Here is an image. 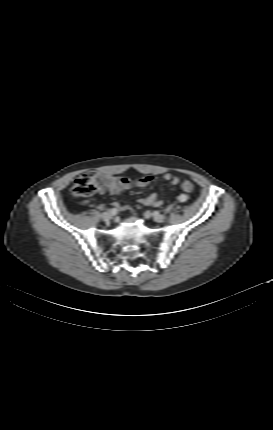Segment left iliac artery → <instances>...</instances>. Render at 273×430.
I'll return each instance as SVG.
<instances>
[{
	"label": "left iliac artery",
	"mask_w": 273,
	"mask_h": 430,
	"mask_svg": "<svg viewBox=\"0 0 273 430\" xmlns=\"http://www.w3.org/2000/svg\"><path fill=\"white\" fill-rule=\"evenodd\" d=\"M179 201L180 202H185L186 201V196L185 195H180L179 196ZM168 211H169V209H168Z\"/></svg>",
	"instance_id": "44dca946"
}]
</instances>
